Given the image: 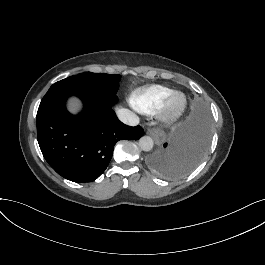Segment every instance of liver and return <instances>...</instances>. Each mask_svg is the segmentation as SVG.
Wrapping results in <instances>:
<instances>
[{
	"label": "liver",
	"mask_w": 265,
	"mask_h": 265,
	"mask_svg": "<svg viewBox=\"0 0 265 265\" xmlns=\"http://www.w3.org/2000/svg\"><path fill=\"white\" fill-rule=\"evenodd\" d=\"M81 109V103L78 99L76 98H71L68 101V110L71 113H77Z\"/></svg>",
	"instance_id": "liver-1"
}]
</instances>
